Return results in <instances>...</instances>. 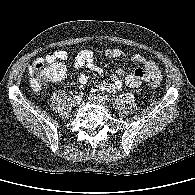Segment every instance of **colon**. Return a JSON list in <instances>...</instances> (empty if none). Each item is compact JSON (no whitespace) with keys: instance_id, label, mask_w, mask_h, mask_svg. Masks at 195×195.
Masks as SVG:
<instances>
[{"instance_id":"obj_1","label":"colon","mask_w":195,"mask_h":195,"mask_svg":"<svg viewBox=\"0 0 195 195\" xmlns=\"http://www.w3.org/2000/svg\"><path fill=\"white\" fill-rule=\"evenodd\" d=\"M31 84L35 88L41 87L48 81L60 80L65 75V66L57 59H51L48 55L35 59L29 66ZM159 79L149 82L151 88H157Z\"/></svg>"}]
</instances>
